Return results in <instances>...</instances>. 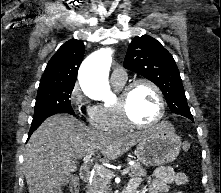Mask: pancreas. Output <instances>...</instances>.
<instances>
[{"label":"pancreas","instance_id":"obj_1","mask_svg":"<svg viewBox=\"0 0 221 193\" xmlns=\"http://www.w3.org/2000/svg\"><path fill=\"white\" fill-rule=\"evenodd\" d=\"M130 177L134 176H146V170L141 166L139 162L129 166ZM110 190V178L100 174L98 171L94 174L92 181L87 185L86 193H109Z\"/></svg>","mask_w":221,"mask_h":193}]
</instances>
